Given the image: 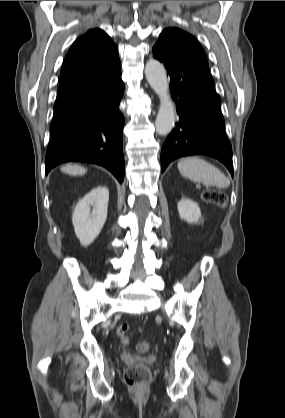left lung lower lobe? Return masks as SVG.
<instances>
[{
  "label": "left lung lower lobe",
  "mask_w": 285,
  "mask_h": 418,
  "mask_svg": "<svg viewBox=\"0 0 285 418\" xmlns=\"http://www.w3.org/2000/svg\"><path fill=\"white\" fill-rule=\"evenodd\" d=\"M153 55L164 64L173 100L179 107V122L161 150V171L176 158L203 154L220 160L233 175L232 148L224 131L221 98L210 74L165 41L158 40Z\"/></svg>",
  "instance_id": "obj_1"
}]
</instances>
